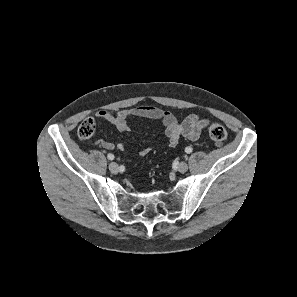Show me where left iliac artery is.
Returning <instances> with one entry per match:
<instances>
[{"instance_id":"obj_1","label":"left iliac artery","mask_w":297,"mask_h":297,"mask_svg":"<svg viewBox=\"0 0 297 297\" xmlns=\"http://www.w3.org/2000/svg\"><path fill=\"white\" fill-rule=\"evenodd\" d=\"M185 152L186 153H191L192 152V148L191 147H186L185 148Z\"/></svg>"}]
</instances>
